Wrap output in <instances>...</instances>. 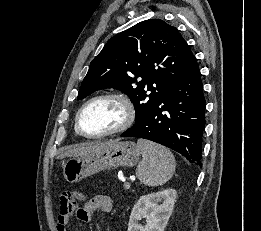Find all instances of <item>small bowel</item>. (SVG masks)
<instances>
[{"label":"small bowel","mask_w":261,"mask_h":231,"mask_svg":"<svg viewBox=\"0 0 261 231\" xmlns=\"http://www.w3.org/2000/svg\"><path fill=\"white\" fill-rule=\"evenodd\" d=\"M84 194L80 193V199H84ZM112 209V200L105 195H96L89 199L82 207L76 211V217L83 223H88L95 211L109 212ZM68 217L58 215L57 231H65V225L68 222Z\"/></svg>","instance_id":"obj_1"}]
</instances>
